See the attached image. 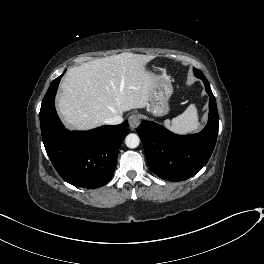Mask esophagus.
Listing matches in <instances>:
<instances>
[{
	"mask_svg": "<svg viewBox=\"0 0 264 264\" xmlns=\"http://www.w3.org/2000/svg\"><path fill=\"white\" fill-rule=\"evenodd\" d=\"M128 123L131 129H136L140 124V118L137 114H132L128 118Z\"/></svg>",
	"mask_w": 264,
	"mask_h": 264,
	"instance_id": "esophagus-1",
	"label": "esophagus"
}]
</instances>
